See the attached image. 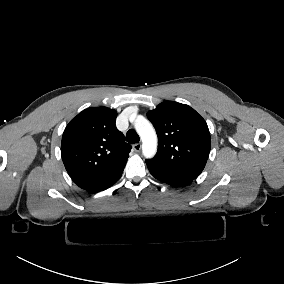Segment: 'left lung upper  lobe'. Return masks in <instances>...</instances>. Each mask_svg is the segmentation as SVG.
<instances>
[{"mask_svg": "<svg viewBox=\"0 0 284 284\" xmlns=\"http://www.w3.org/2000/svg\"><path fill=\"white\" fill-rule=\"evenodd\" d=\"M157 130L159 145L147 166L196 179L203 171L211 148L206 121L190 106L166 101L147 113Z\"/></svg>", "mask_w": 284, "mask_h": 284, "instance_id": "obj_1", "label": "left lung upper lobe"}]
</instances>
